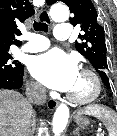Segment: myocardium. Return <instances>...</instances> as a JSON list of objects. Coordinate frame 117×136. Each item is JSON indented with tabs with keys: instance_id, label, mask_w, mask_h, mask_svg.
<instances>
[{
	"instance_id": "f54148a6",
	"label": "myocardium",
	"mask_w": 117,
	"mask_h": 136,
	"mask_svg": "<svg viewBox=\"0 0 117 136\" xmlns=\"http://www.w3.org/2000/svg\"><path fill=\"white\" fill-rule=\"evenodd\" d=\"M80 74L87 76L91 80L93 87L91 94L86 97H77L71 93H68L67 99L74 104L85 105L92 103L99 98L102 93V83L99 76L93 70L85 68L80 71Z\"/></svg>"
}]
</instances>
